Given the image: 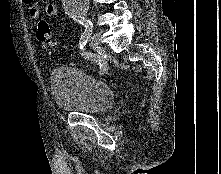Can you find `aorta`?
I'll list each match as a JSON object with an SVG mask.
<instances>
[{
  "mask_svg": "<svg viewBox=\"0 0 221 174\" xmlns=\"http://www.w3.org/2000/svg\"><path fill=\"white\" fill-rule=\"evenodd\" d=\"M66 14L78 21L86 19L89 0H62Z\"/></svg>",
  "mask_w": 221,
  "mask_h": 174,
  "instance_id": "obj_1",
  "label": "aorta"
}]
</instances>
